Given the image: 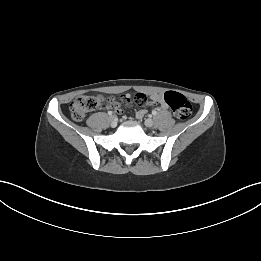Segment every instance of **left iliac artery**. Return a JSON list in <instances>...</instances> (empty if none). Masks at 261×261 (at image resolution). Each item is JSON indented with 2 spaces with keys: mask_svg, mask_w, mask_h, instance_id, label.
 Returning a JSON list of instances; mask_svg holds the SVG:
<instances>
[{
  "mask_svg": "<svg viewBox=\"0 0 261 261\" xmlns=\"http://www.w3.org/2000/svg\"><path fill=\"white\" fill-rule=\"evenodd\" d=\"M157 114V111L156 110H153L152 111V115H156Z\"/></svg>",
  "mask_w": 261,
  "mask_h": 261,
  "instance_id": "left-iliac-artery-1",
  "label": "left iliac artery"
}]
</instances>
